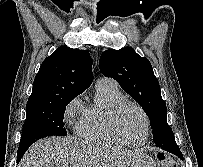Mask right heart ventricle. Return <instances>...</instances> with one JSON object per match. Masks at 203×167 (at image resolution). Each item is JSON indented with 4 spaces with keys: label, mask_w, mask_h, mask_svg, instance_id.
<instances>
[{
    "label": "right heart ventricle",
    "mask_w": 203,
    "mask_h": 167,
    "mask_svg": "<svg viewBox=\"0 0 203 167\" xmlns=\"http://www.w3.org/2000/svg\"><path fill=\"white\" fill-rule=\"evenodd\" d=\"M125 99L117 84L107 82L96 87L93 103L85 107L76 125L77 136L86 142L123 145L110 133L107 121L116 104Z\"/></svg>",
    "instance_id": "obj_1"
}]
</instances>
